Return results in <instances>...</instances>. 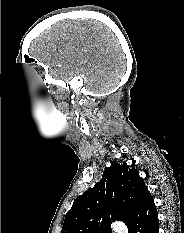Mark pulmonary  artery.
<instances>
[{"label":"pulmonary artery","mask_w":184,"mask_h":233,"mask_svg":"<svg viewBox=\"0 0 184 233\" xmlns=\"http://www.w3.org/2000/svg\"><path fill=\"white\" fill-rule=\"evenodd\" d=\"M114 232L115 233H128L126 226L121 222L116 223Z\"/></svg>","instance_id":"obj_1"}]
</instances>
